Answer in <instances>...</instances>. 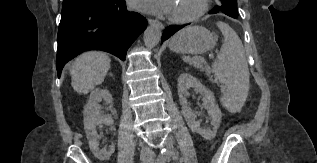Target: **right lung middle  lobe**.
Returning <instances> with one entry per match:
<instances>
[{
    "mask_svg": "<svg viewBox=\"0 0 317 163\" xmlns=\"http://www.w3.org/2000/svg\"><path fill=\"white\" fill-rule=\"evenodd\" d=\"M106 0H67L63 2L62 12L75 10L86 5Z\"/></svg>",
    "mask_w": 317,
    "mask_h": 163,
    "instance_id": "obj_1",
    "label": "right lung middle lobe"
}]
</instances>
